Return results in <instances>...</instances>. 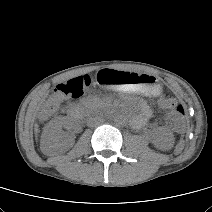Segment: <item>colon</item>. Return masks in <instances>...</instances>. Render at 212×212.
Returning a JSON list of instances; mask_svg holds the SVG:
<instances>
[{"instance_id": "5ec220e1", "label": "colon", "mask_w": 212, "mask_h": 212, "mask_svg": "<svg viewBox=\"0 0 212 212\" xmlns=\"http://www.w3.org/2000/svg\"><path fill=\"white\" fill-rule=\"evenodd\" d=\"M95 83L94 76L81 75L60 83L55 87L54 93L49 101L43 106L41 115L47 117L51 115L65 98H78L88 91ZM160 105L169 110L170 119L180 125L185 116V107L175 98L162 96Z\"/></svg>"}]
</instances>
